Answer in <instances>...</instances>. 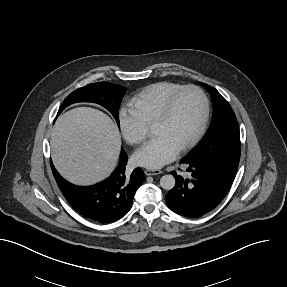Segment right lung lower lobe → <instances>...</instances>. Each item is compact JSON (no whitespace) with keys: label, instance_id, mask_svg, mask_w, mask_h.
I'll return each mask as SVG.
<instances>
[{"label":"right lung lower lobe","instance_id":"98d812e1","mask_svg":"<svg viewBox=\"0 0 287 287\" xmlns=\"http://www.w3.org/2000/svg\"><path fill=\"white\" fill-rule=\"evenodd\" d=\"M127 155L122 149L120 162L105 181L92 186H76L67 182L52 165L53 175L67 201L85 218L99 223H112L126 215L132 207L135 192L145 180L140 168L125 172Z\"/></svg>","mask_w":287,"mask_h":287}]
</instances>
